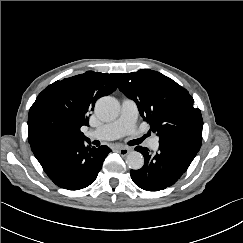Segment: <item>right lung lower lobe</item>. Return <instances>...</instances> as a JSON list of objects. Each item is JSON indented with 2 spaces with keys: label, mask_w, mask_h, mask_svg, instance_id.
<instances>
[{
  "label": "right lung lower lobe",
  "mask_w": 243,
  "mask_h": 243,
  "mask_svg": "<svg viewBox=\"0 0 243 243\" xmlns=\"http://www.w3.org/2000/svg\"><path fill=\"white\" fill-rule=\"evenodd\" d=\"M88 143L89 141L86 140ZM34 156L48 177L59 187L83 189L92 184L111 150L87 146L58 137H42L30 144Z\"/></svg>",
  "instance_id": "obj_1"
}]
</instances>
